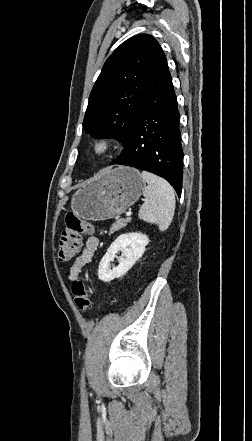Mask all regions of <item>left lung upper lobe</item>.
<instances>
[{
	"mask_svg": "<svg viewBox=\"0 0 252 441\" xmlns=\"http://www.w3.org/2000/svg\"><path fill=\"white\" fill-rule=\"evenodd\" d=\"M162 52L154 37L140 34L110 55L89 97L83 127L90 135L125 146Z\"/></svg>",
	"mask_w": 252,
	"mask_h": 441,
	"instance_id": "5c2ea615",
	"label": "left lung upper lobe"
}]
</instances>
